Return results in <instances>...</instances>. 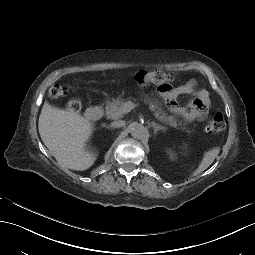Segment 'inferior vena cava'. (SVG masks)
<instances>
[{"label":"inferior vena cava","mask_w":255,"mask_h":255,"mask_svg":"<svg viewBox=\"0 0 255 255\" xmlns=\"http://www.w3.org/2000/svg\"><path fill=\"white\" fill-rule=\"evenodd\" d=\"M124 125H125L124 121L118 120V121H113L110 126L113 128H119V127H123Z\"/></svg>","instance_id":"602c4592"}]
</instances>
